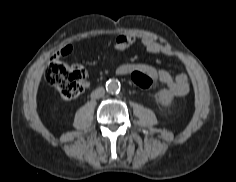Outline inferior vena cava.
<instances>
[{
    "label": "inferior vena cava",
    "instance_id": "602c4592",
    "mask_svg": "<svg viewBox=\"0 0 236 182\" xmlns=\"http://www.w3.org/2000/svg\"><path fill=\"white\" fill-rule=\"evenodd\" d=\"M104 94H105V89L103 87H99L92 92V97L93 98H100V97H103Z\"/></svg>",
    "mask_w": 236,
    "mask_h": 182
}]
</instances>
